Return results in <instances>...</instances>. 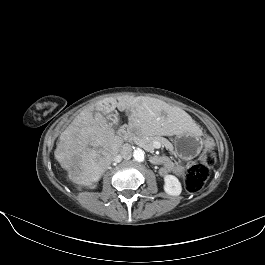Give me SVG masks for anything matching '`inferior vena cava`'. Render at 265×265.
<instances>
[{"mask_svg": "<svg viewBox=\"0 0 265 265\" xmlns=\"http://www.w3.org/2000/svg\"><path fill=\"white\" fill-rule=\"evenodd\" d=\"M132 156V148L129 144L122 145L120 149V157L124 159H129Z\"/></svg>", "mask_w": 265, "mask_h": 265, "instance_id": "obj_1", "label": "inferior vena cava"}]
</instances>
